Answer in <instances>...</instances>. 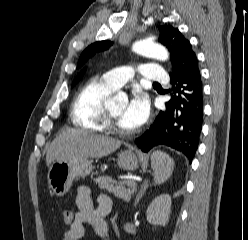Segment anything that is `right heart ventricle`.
Segmentation results:
<instances>
[{
	"instance_id": "right-heart-ventricle-1",
	"label": "right heart ventricle",
	"mask_w": 248,
	"mask_h": 240,
	"mask_svg": "<svg viewBox=\"0 0 248 240\" xmlns=\"http://www.w3.org/2000/svg\"><path fill=\"white\" fill-rule=\"evenodd\" d=\"M103 78H93L76 95L72 107V122L76 127L102 132L105 130V100L115 90Z\"/></svg>"
}]
</instances>
